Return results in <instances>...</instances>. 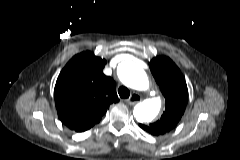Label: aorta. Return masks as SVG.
<instances>
[{"label":"aorta","instance_id":"obj_1","mask_svg":"<svg viewBox=\"0 0 240 160\" xmlns=\"http://www.w3.org/2000/svg\"><path fill=\"white\" fill-rule=\"evenodd\" d=\"M117 74L119 79L128 87L146 91L149 89V81L144 70L133 61H123L118 65ZM145 99L134 107V116L140 123L152 121L161 108V98L154 96Z\"/></svg>","mask_w":240,"mask_h":160}]
</instances>
